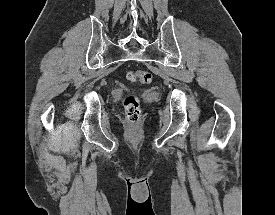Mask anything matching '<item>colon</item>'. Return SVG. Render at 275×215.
Listing matches in <instances>:
<instances>
[{
  "instance_id": "colon-1",
  "label": "colon",
  "mask_w": 275,
  "mask_h": 215,
  "mask_svg": "<svg viewBox=\"0 0 275 215\" xmlns=\"http://www.w3.org/2000/svg\"><path fill=\"white\" fill-rule=\"evenodd\" d=\"M127 78L131 82L137 81L141 84H149L151 82L152 75L147 70L137 69L128 72ZM123 105L127 118L133 123L137 122L140 118V101L138 97L132 93L126 94L123 99Z\"/></svg>"
}]
</instances>
